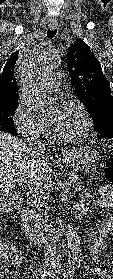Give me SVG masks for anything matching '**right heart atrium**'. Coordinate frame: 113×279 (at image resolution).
Instances as JSON below:
<instances>
[{
	"label": "right heart atrium",
	"mask_w": 113,
	"mask_h": 279,
	"mask_svg": "<svg viewBox=\"0 0 113 279\" xmlns=\"http://www.w3.org/2000/svg\"><path fill=\"white\" fill-rule=\"evenodd\" d=\"M12 119L18 132L27 140H37L47 132L43 120L33 112L23 99L18 101Z\"/></svg>",
	"instance_id": "1"
}]
</instances>
